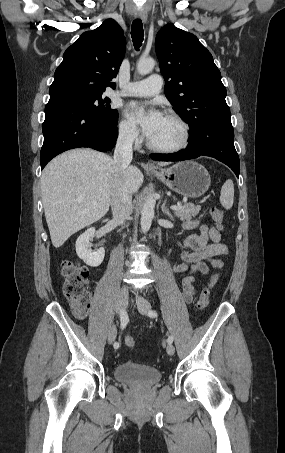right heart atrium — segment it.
Masks as SVG:
<instances>
[{
	"instance_id": "d8ad5b80",
	"label": "right heart atrium",
	"mask_w": 285,
	"mask_h": 453,
	"mask_svg": "<svg viewBox=\"0 0 285 453\" xmlns=\"http://www.w3.org/2000/svg\"><path fill=\"white\" fill-rule=\"evenodd\" d=\"M118 136L120 141L126 145L136 146L141 142V136L136 124L128 118H123L119 122Z\"/></svg>"
}]
</instances>
